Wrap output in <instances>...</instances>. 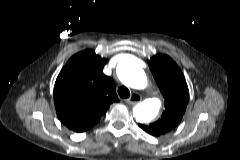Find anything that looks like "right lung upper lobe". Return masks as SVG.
<instances>
[{"instance_id": "cb5924a9", "label": "right lung upper lobe", "mask_w": 240, "mask_h": 160, "mask_svg": "<svg viewBox=\"0 0 240 160\" xmlns=\"http://www.w3.org/2000/svg\"><path fill=\"white\" fill-rule=\"evenodd\" d=\"M106 62L93 50H85L72 56L60 71L54 103L58 118L69 129L89 130L118 101L115 82L103 74Z\"/></svg>"}]
</instances>
